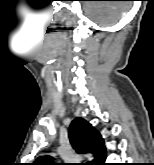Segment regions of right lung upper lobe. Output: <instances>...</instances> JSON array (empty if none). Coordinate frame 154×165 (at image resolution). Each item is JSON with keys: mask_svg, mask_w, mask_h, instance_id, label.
<instances>
[{"mask_svg": "<svg viewBox=\"0 0 154 165\" xmlns=\"http://www.w3.org/2000/svg\"><path fill=\"white\" fill-rule=\"evenodd\" d=\"M69 139L72 147L79 153H91L95 157L104 140L100 133L85 119L76 118L69 127ZM33 165H57L51 156H40Z\"/></svg>", "mask_w": 154, "mask_h": 165, "instance_id": "obj_1", "label": "right lung upper lobe"}]
</instances>
